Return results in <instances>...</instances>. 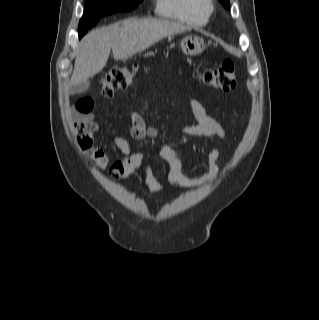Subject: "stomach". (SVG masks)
<instances>
[{"label":"stomach","mask_w":319,"mask_h":320,"mask_svg":"<svg viewBox=\"0 0 319 320\" xmlns=\"http://www.w3.org/2000/svg\"><path fill=\"white\" fill-rule=\"evenodd\" d=\"M182 52L188 56H196L201 54L206 45L204 40L198 36H186L180 42Z\"/></svg>","instance_id":"stomach-1"}]
</instances>
